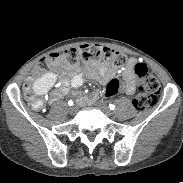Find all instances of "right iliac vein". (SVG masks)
Wrapping results in <instances>:
<instances>
[{
	"label": "right iliac vein",
	"instance_id": "1",
	"mask_svg": "<svg viewBox=\"0 0 183 183\" xmlns=\"http://www.w3.org/2000/svg\"><path fill=\"white\" fill-rule=\"evenodd\" d=\"M69 110H70L71 113H74V112H76V107L72 106V107H70Z\"/></svg>",
	"mask_w": 183,
	"mask_h": 183
}]
</instances>
